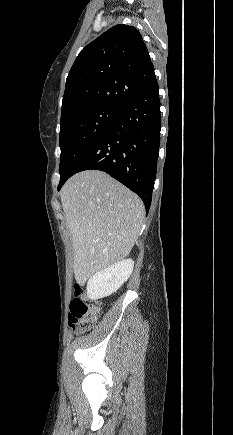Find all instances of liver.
I'll return each instance as SVG.
<instances>
[{"label": "liver", "mask_w": 233, "mask_h": 435, "mask_svg": "<svg viewBox=\"0 0 233 435\" xmlns=\"http://www.w3.org/2000/svg\"><path fill=\"white\" fill-rule=\"evenodd\" d=\"M61 203L72 235L77 282L129 255L145 213L135 193L105 172L87 170L64 184Z\"/></svg>", "instance_id": "6515ba94"}]
</instances>
